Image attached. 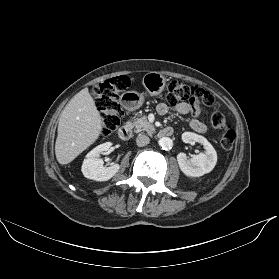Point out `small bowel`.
I'll return each mask as SVG.
<instances>
[{
    "mask_svg": "<svg viewBox=\"0 0 279 279\" xmlns=\"http://www.w3.org/2000/svg\"><path fill=\"white\" fill-rule=\"evenodd\" d=\"M168 107L166 104L161 103L157 106V112L160 115H165L168 112ZM194 108H192L188 103L181 102L174 107V111L178 114L186 115L190 112H194ZM190 127L199 133H204L206 131V125L199 121L198 119H192L189 123Z\"/></svg>",
    "mask_w": 279,
    "mask_h": 279,
    "instance_id": "small-bowel-1",
    "label": "small bowel"
}]
</instances>
